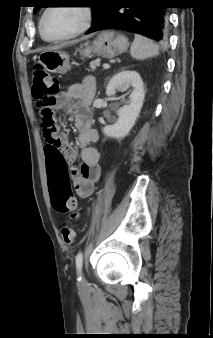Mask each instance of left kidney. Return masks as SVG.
I'll use <instances>...</instances> for the list:
<instances>
[{
	"label": "left kidney",
	"mask_w": 213,
	"mask_h": 338,
	"mask_svg": "<svg viewBox=\"0 0 213 338\" xmlns=\"http://www.w3.org/2000/svg\"><path fill=\"white\" fill-rule=\"evenodd\" d=\"M132 87L129 102L118 110V119L113 125L103 128L104 135L122 139L126 137L133 128L145 99L144 84L139 73L122 69L115 74L106 87V95L113 96L117 91H127Z\"/></svg>",
	"instance_id": "1"
}]
</instances>
